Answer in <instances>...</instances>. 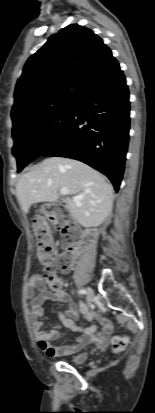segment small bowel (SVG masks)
Here are the masks:
<instances>
[{"label": "small bowel", "instance_id": "1", "mask_svg": "<svg viewBox=\"0 0 155 413\" xmlns=\"http://www.w3.org/2000/svg\"><path fill=\"white\" fill-rule=\"evenodd\" d=\"M71 266L65 270L69 271ZM39 288L40 294L35 296L34 290ZM26 297L29 299V318L32 325L33 336L37 342L38 348L52 357H63L72 355L90 343L100 342L102 344L108 341L112 331V326L107 319L101 318L97 313L89 312L84 303L80 304V310L85 315L88 322L98 320L100 330L96 326L91 325L85 328L78 327L74 319L77 317V307L71 301L69 294L62 288L52 290L48 288L40 275H34L29 280L26 287ZM49 300H57L68 303V308L65 311H59L58 317L63 325L73 331L81 332V335L72 342L64 346H56L51 342L58 338L57 330L43 331L41 326L44 319L43 304Z\"/></svg>", "mask_w": 155, "mask_h": 413}]
</instances>
